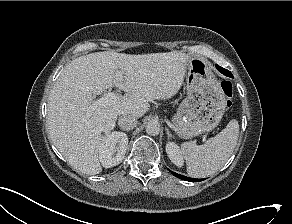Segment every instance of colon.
<instances>
[{
  "label": "colon",
  "mask_w": 292,
  "mask_h": 224,
  "mask_svg": "<svg viewBox=\"0 0 292 224\" xmlns=\"http://www.w3.org/2000/svg\"><path fill=\"white\" fill-rule=\"evenodd\" d=\"M221 89L227 99L226 101L227 105L230 106L232 103V97H233V86L231 82L228 80H223L221 82Z\"/></svg>",
  "instance_id": "5ec220e1"
}]
</instances>
